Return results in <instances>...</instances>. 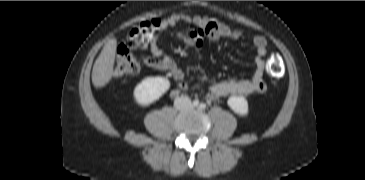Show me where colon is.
<instances>
[{
    "instance_id": "obj_1",
    "label": "colon",
    "mask_w": 365,
    "mask_h": 180,
    "mask_svg": "<svg viewBox=\"0 0 365 180\" xmlns=\"http://www.w3.org/2000/svg\"><path fill=\"white\" fill-rule=\"evenodd\" d=\"M158 30L159 20L150 19L140 23L128 32L124 43L117 50L114 63V73L117 76L134 75L140 71V62L132 51L146 45L157 35ZM266 66L269 74L274 78L281 77L284 72L283 59L277 52H272L268 56Z\"/></svg>"
}]
</instances>
